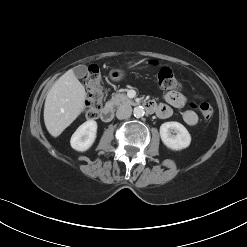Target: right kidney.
<instances>
[{"label":"right kidney","mask_w":247,"mask_h":247,"mask_svg":"<svg viewBox=\"0 0 247 247\" xmlns=\"http://www.w3.org/2000/svg\"><path fill=\"white\" fill-rule=\"evenodd\" d=\"M96 133V121L89 120L84 122L72 135L70 140L71 147L80 152L88 150L96 139Z\"/></svg>","instance_id":"obj_1"}]
</instances>
